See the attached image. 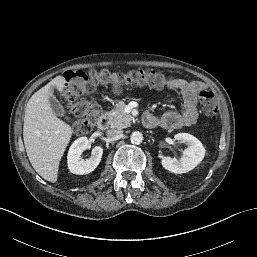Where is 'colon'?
Listing matches in <instances>:
<instances>
[{"label":"colon","mask_w":257,"mask_h":257,"mask_svg":"<svg viewBox=\"0 0 257 257\" xmlns=\"http://www.w3.org/2000/svg\"><path fill=\"white\" fill-rule=\"evenodd\" d=\"M66 81L65 96L68 109L77 116L74 123V132L82 135L90 132L101 116L100 107L91 101L81 98L92 93L99 85H148L162 88L174 80L170 75L156 70L137 69L127 73H115L108 70L68 71L64 74ZM200 105L203 115L214 120L217 116L214 94L206 89L199 93Z\"/></svg>","instance_id":"obj_1"}]
</instances>
